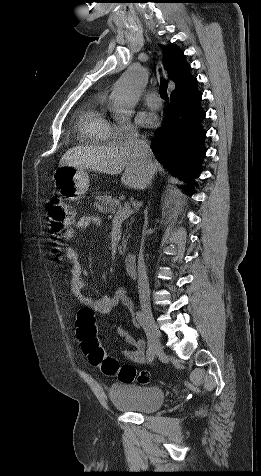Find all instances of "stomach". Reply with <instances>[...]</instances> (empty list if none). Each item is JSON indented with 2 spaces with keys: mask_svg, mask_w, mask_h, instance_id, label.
Masks as SVG:
<instances>
[{
  "mask_svg": "<svg viewBox=\"0 0 261 476\" xmlns=\"http://www.w3.org/2000/svg\"><path fill=\"white\" fill-rule=\"evenodd\" d=\"M55 186L60 189L64 197L77 200L89 188V176L85 169L63 166L53 175Z\"/></svg>",
  "mask_w": 261,
  "mask_h": 476,
  "instance_id": "stomach-1",
  "label": "stomach"
}]
</instances>
